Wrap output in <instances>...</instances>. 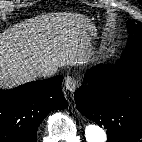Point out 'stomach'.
I'll return each instance as SVG.
<instances>
[{
  "label": "stomach",
  "mask_w": 142,
  "mask_h": 142,
  "mask_svg": "<svg viewBox=\"0 0 142 142\" xmlns=\"http://www.w3.org/2000/svg\"><path fill=\"white\" fill-rule=\"evenodd\" d=\"M85 32L88 38H92L96 34V28L91 22H89L85 25Z\"/></svg>",
  "instance_id": "1"
}]
</instances>
